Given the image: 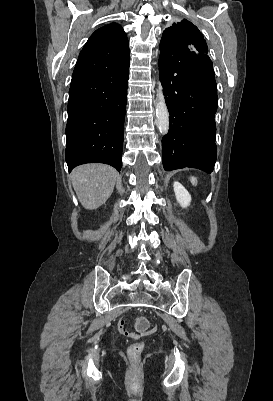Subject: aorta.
<instances>
[{"instance_id": "762f6f07", "label": "aorta", "mask_w": 273, "mask_h": 401, "mask_svg": "<svg viewBox=\"0 0 273 401\" xmlns=\"http://www.w3.org/2000/svg\"><path fill=\"white\" fill-rule=\"evenodd\" d=\"M156 123L161 134L166 135L169 132V111L160 83L157 91Z\"/></svg>"}]
</instances>
